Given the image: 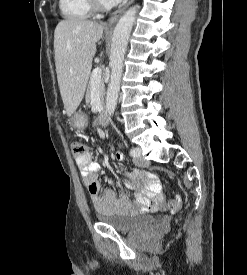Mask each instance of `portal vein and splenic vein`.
Instances as JSON below:
<instances>
[{"instance_id":"18ae733b","label":"portal vein and splenic vein","mask_w":247,"mask_h":275,"mask_svg":"<svg viewBox=\"0 0 247 275\" xmlns=\"http://www.w3.org/2000/svg\"><path fill=\"white\" fill-rule=\"evenodd\" d=\"M101 69L97 67L91 74V80L94 85H98L101 80Z\"/></svg>"}]
</instances>
